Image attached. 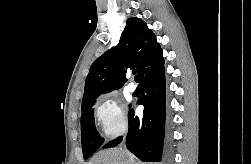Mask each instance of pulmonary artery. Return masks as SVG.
Segmentation results:
<instances>
[{
    "mask_svg": "<svg viewBox=\"0 0 251 164\" xmlns=\"http://www.w3.org/2000/svg\"><path fill=\"white\" fill-rule=\"evenodd\" d=\"M127 90L129 91V92H131V93H133V92H135V90H136V85L134 84V83H129L128 85H127Z\"/></svg>",
    "mask_w": 251,
    "mask_h": 164,
    "instance_id": "1",
    "label": "pulmonary artery"
}]
</instances>
